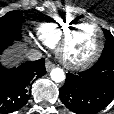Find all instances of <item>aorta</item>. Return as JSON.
<instances>
[{
  "mask_svg": "<svg viewBox=\"0 0 114 114\" xmlns=\"http://www.w3.org/2000/svg\"><path fill=\"white\" fill-rule=\"evenodd\" d=\"M51 79L56 82H62L65 80L64 71L61 68H53L50 72Z\"/></svg>",
  "mask_w": 114,
  "mask_h": 114,
  "instance_id": "aorta-1",
  "label": "aorta"
}]
</instances>
